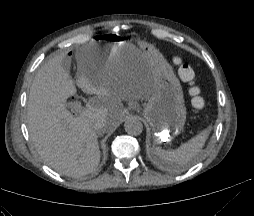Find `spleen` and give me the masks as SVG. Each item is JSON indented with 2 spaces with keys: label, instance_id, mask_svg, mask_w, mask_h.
Returning <instances> with one entry per match:
<instances>
[{
  "label": "spleen",
  "instance_id": "obj_1",
  "mask_svg": "<svg viewBox=\"0 0 254 216\" xmlns=\"http://www.w3.org/2000/svg\"><path fill=\"white\" fill-rule=\"evenodd\" d=\"M208 136L209 130H203L175 150H164L160 147H154L152 151L165 169L177 171L179 167L186 165L192 157L201 151Z\"/></svg>",
  "mask_w": 254,
  "mask_h": 216
}]
</instances>
